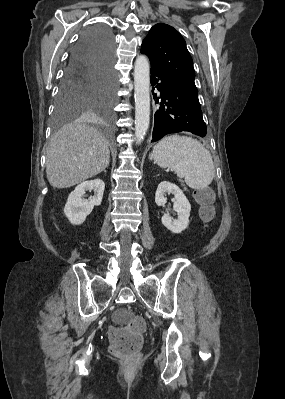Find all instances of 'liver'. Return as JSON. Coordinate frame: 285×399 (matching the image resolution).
<instances>
[{
    "label": "liver",
    "instance_id": "6515ba94",
    "mask_svg": "<svg viewBox=\"0 0 285 399\" xmlns=\"http://www.w3.org/2000/svg\"><path fill=\"white\" fill-rule=\"evenodd\" d=\"M110 160L104 135L78 119L51 138L46 153V175L54 188H67L101 173Z\"/></svg>",
    "mask_w": 285,
    "mask_h": 399
}]
</instances>
